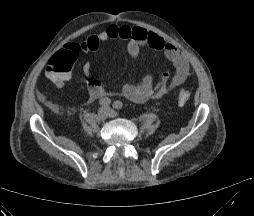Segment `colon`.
I'll list each match as a JSON object with an SVG mask.
<instances>
[{"instance_id": "5ec220e1", "label": "colon", "mask_w": 254, "mask_h": 216, "mask_svg": "<svg viewBox=\"0 0 254 216\" xmlns=\"http://www.w3.org/2000/svg\"><path fill=\"white\" fill-rule=\"evenodd\" d=\"M79 52V47H75ZM77 54V53H76ZM72 59L68 58L65 54H58L53 57L52 62L47 66V71L50 75H64L72 69ZM191 97L188 89L180 88L177 92V101L179 104H186Z\"/></svg>"}]
</instances>
